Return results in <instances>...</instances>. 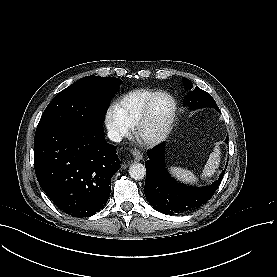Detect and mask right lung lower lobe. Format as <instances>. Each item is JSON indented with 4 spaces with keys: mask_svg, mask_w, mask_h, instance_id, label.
I'll return each mask as SVG.
<instances>
[{
    "mask_svg": "<svg viewBox=\"0 0 277 277\" xmlns=\"http://www.w3.org/2000/svg\"><path fill=\"white\" fill-rule=\"evenodd\" d=\"M34 167L46 195L65 213L89 217L106 204L120 161L101 123L36 130Z\"/></svg>",
    "mask_w": 277,
    "mask_h": 277,
    "instance_id": "1",
    "label": "right lung lower lobe"
}]
</instances>
